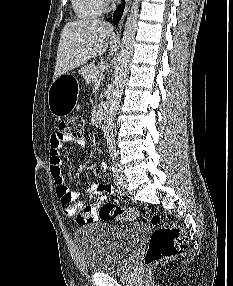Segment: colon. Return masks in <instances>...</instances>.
Here are the masks:
<instances>
[{
  "label": "colon",
  "mask_w": 233,
  "mask_h": 286,
  "mask_svg": "<svg viewBox=\"0 0 233 286\" xmlns=\"http://www.w3.org/2000/svg\"><path fill=\"white\" fill-rule=\"evenodd\" d=\"M84 120L81 116L68 117L59 124L57 134L63 138L78 139L82 135ZM96 215L105 221L116 220L120 222L134 221L138 213L133 209H123L111 203H104L95 210ZM150 222L154 227L151 235L149 247L145 255V263L154 265L167 260L187 246V235L185 231L175 225L162 226L161 217L153 215Z\"/></svg>",
  "instance_id": "obj_1"
}]
</instances>
